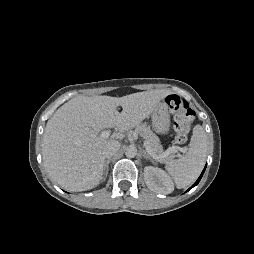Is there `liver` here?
Wrapping results in <instances>:
<instances>
[{"instance_id": "6515ba94", "label": "liver", "mask_w": 254, "mask_h": 254, "mask_svg": "<svg viewBox=\"0 0 254 254\" xmlns=\"http://www.w3.org/2000/svg\"><path fill=\"white\" fill-rule=\"evenodd\" d=\"M170 90H149L123 97L77 96L62 105L48 120L43 136V163L49 176L70 191H85L102 180L104 148L112 140L141 124ZM122 107V112L117 107ZM119 132L102 138L100 131Z\"/></svg>"}]
</instances>
